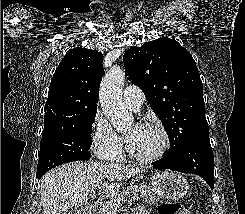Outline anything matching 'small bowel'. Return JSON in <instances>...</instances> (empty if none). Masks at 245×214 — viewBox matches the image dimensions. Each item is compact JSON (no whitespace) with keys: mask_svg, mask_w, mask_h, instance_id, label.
<instances>
[{"mask_svg":"<svg viewBox=\"0 0 245 214\" xmlns=\"http://www.w3.org/2000/svg\"><path fill=\"white\" fill-rule=\"evenodd\" d=\"M133 214H147V212L143 208H137V209H135V211L133 212Z\"/></svg>","mask_w":245,"mask_h":214,"instance_id":"c3829d8e","label":"small bowel"}]
</instances>
